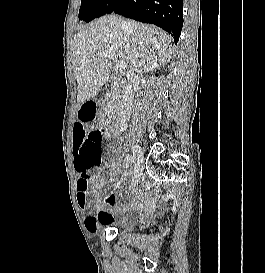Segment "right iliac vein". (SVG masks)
Returning <instances> with one entry per match:
<instances>
[{
	"instance_id": "63e3f726",
	"label": "right iliac vein",
	"mask_w": 265,
	"mask_h": 273,
	"mask_svg": "<svg viewBox=\"0 0 265 273\" xmlns=\"http://www.w3.org/2000/svg\"><path fill=\"white\" fill-rule=\"evenodd\" d=\"M133 156L136 162V169H135V184H138L139 178L142 174V164H143V153L141 148L138 145H133L132 147Z\"/></svg>"
}]
</instances>
